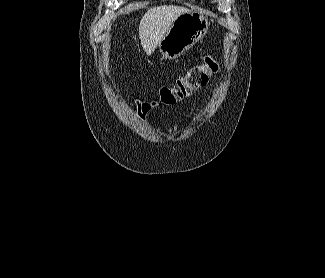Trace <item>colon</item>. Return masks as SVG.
I'll return each mask as SVG.
<instances>
[{"label": "colon", "mask_w": 325, "mask_h": 278, "mask_svg": "<svg viewBox=\"0 0 325 278\" xmlns=\"http://www.w3.org/2000/svg\"><path fill=\"white\" fill-rule=\"evenodd\" d=\"M218 68L217 60L212 56H206L200 64L192 67L187 74L179 77L173 84L161 87L155 99L138 101L139 115L145 116L159 104L172 105L189 97L193 92L206 86Z\"/></svg>", "instance_id": "colon-1"}]
</instances>
